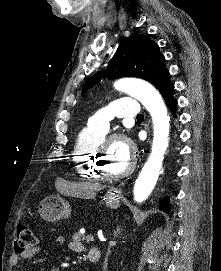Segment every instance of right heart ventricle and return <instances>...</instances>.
<instances>
[{"label": "right heart ventricle", "mask_w": 221, "mask_h": 271, "mask_svg": "<svg viewBox=\"0 0 221 271\" xmlns=\"http://www.w3.org/2000/svg\"><path fill=\"white\" fill-rule=\"evenodd\" d=\"M98 144H107L104 136L96 135L90 139L78 138L76 142V149L84 154H74L73 163L81 164L76 167L77 175L79 179H97L99 176L98 164H94L93 158H96V153L100 149L97 148Z\"/></svg>", "instance_id": "right-heart-ventricle-1"}]
</instances>
